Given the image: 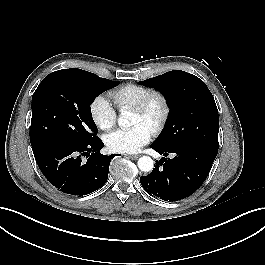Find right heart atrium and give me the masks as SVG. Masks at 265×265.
<instances>
[{
  "label": "right heart atrium",
  "mask_w": 265,
  "mask_h": 265,
  "mask_svg": "<svg viewBox=\"0 0 265 265\" xmlns=\"http://www.w3.org/2000/svg\"><path fill=\"white\" fill-rule=\"evenodd\" d=\"M91 120L103 131L111 129L117 121V114L110 101L103 95L97 96L89 106Z\"/></svg>",
  "instance_id": "right-heart-atrium-1"
}]
</instances>
